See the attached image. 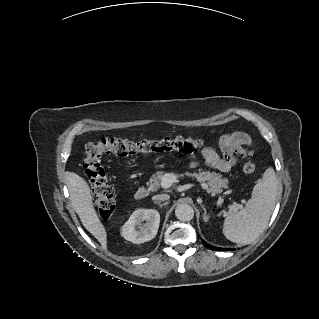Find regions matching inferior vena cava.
<instances>
[{"label":"inferior vena cava","mask_w":319,"mask_h":319,"mask_svg":"<svg viewBox=\"0 0 319 319\" xmlns=\"http://www.w3.org/2000/svg\"><path fill=\"white\" fill-rule=\"evenodd\" d=\"M169 198L170 196L168 194H159L152 197L154 202L166 201V200H169Z\"/></svg>","instance_id":"602c4592"}]
</instances>
